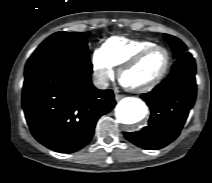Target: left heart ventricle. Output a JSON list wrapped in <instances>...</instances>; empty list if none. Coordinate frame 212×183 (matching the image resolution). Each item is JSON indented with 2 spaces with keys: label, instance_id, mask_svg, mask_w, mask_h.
<instances>
[{
  "label": "left heart ventricle",
  "instance_id": "left-heart-ventricle-1",
  "mask_svg": "<svg viewBox=\"0 0 212 183\" xmlns=\"http://www.w3.org/2000/svg\"><path fill=\"white\" fill-rule=\"evenodd\" d=\"M166 53L157 49L144 57L136 66L129 69L123 76L124 84L128 86H142L154 78L163 70L166 63Z\"/></svg>",
  "mask_w": 212,
  "mask_h": 183
}]
</instances>
